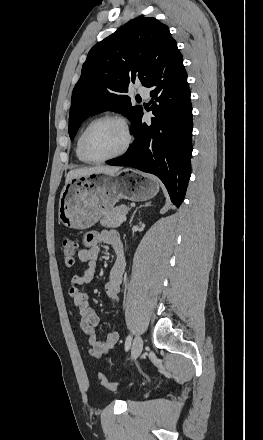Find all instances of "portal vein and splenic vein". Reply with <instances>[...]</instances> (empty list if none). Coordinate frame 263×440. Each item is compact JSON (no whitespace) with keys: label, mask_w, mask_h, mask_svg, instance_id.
Returning a JSON list of instances; mask_svg holds the SVG:
<instances>
[{"label":"portal vein and splenic vein","mask_w":263,"mask_h":440,"mask_svg":"<svg viewBox=\"0 0 263 440\" xmlns=\"http://www.w3.org/2000/svg\"><path fill=\"white\" fill-rule=\"evenodd\" d=\"M120 220L123 221V222L126 221V215H121L120 216Z\"/></svg>","instance_id":"1"}]
</instances>
